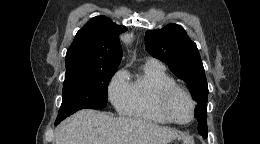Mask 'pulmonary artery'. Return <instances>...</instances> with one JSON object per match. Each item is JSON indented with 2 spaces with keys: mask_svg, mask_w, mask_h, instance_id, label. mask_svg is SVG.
I'll return each mask as SVG.
<instances>
[{
  "mask_svg": "<svg viewBox=\"0 0 260 144\" xmlns=\"http://www.w3.org/2000/svg\"><path fill=\"white\" fill-rule=\"evenodd\" d=\"M147 62H151V63L160 65V63L157 60H154V59H148Z\"/></svg>",
  "mask_w": 260,
  "mask_h": 144,
  "instance_id": "pulmonary-artery-1",
  "label": "pulmonary artery"
}]
</instances>
